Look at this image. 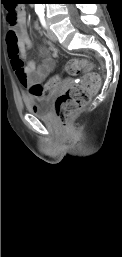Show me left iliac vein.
Listing matches in <instances>:
<instances>
[{"mask_svg": "<svg viewBox=\"0 0 122 257\" xmlns=\"http://www.w3.org/2000/svg\"><path fill=\"white\" fill-rule=\"evenodd\" d=\"M47 26H48V24H47ZM47 32H48V37H49L50 40H52V41H54V42L57 41V37H56L55 33L53 32V30H51V29L48 27Z\"/></svg>", "mask_w": 122, "mask_h": 257, "instance_id": "1", "label": "left iliac vein"}]
</instances>
